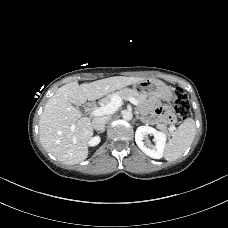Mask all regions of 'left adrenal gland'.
Wrapping results in <instances>:
<instances>
[{
    "mask_svg": "<svg viewBox=\"0 0 228 228\" xmlns=\"http://www.w3.org/2000/svg\"><path fill=\"white\" fill-rule=\"evenodd\" d=\"M137 119H139L141 122H143L144 124H147L145 119L139 115L136 116Z\"/></svg>",
    "mask_w": 228,
    "mask_h": 228,
    "instance_id": "1",
    "label": "left adrenal gland"
}]
</instances>
